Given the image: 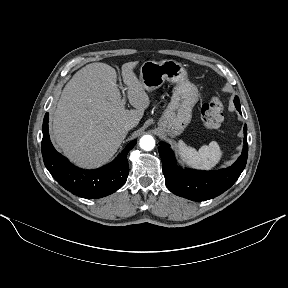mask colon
<instances>
[{
	"label": "colon",
	"instance_id": "colon-1",
	"mask_svg": "<svg viewBox=\"0 0 288 288\" xmlns=\"http://www.w3.org/2000/svg\"><path fill=\"white\" fill-rule=\"evenodd\" d=\"M202 122L210 131H220L223 128V103L214 97L201 109Z\"/></svg>",
	"mask_w": 288,
	"mask_h": 288
}]
</instances>
